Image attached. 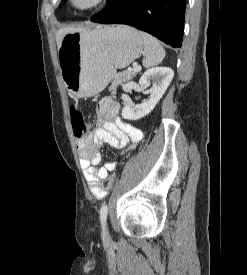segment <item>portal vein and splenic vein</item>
<instances>
[{
    "label": "portal vein and splenic vein",
    "mask_w": 247,
    "mask_h": 275,
    "mask_svg": "<svg viewBox=\"0 0 247 275\" xmlns=\"http://www.w3.org/2000/svg\"><path fill=\"white\" fill-rule=\"evenodd\" d=\"M132 71H134V72H140V71H141V67L136 66V67H134V68L132 69Z\"/></svg>",
    "instance_id": "obj_1"
}]
</instances>
